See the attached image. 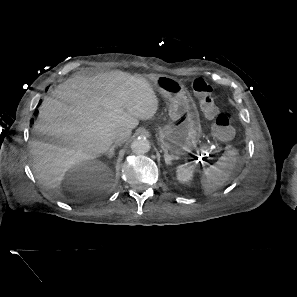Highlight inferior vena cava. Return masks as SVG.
I'll return each instance as SVG.
<instances>
[{
	"mask_svg": "<svg viewBox=\"0 0 297 297\" xmlns=\"http://www.w3.org/2000/svg\"><path fill=\"white\" fill-rule=\"evenodd\" d=\"M131 130L126 128L117 129L113 134V141L120 144L128 140Z\"/></svg>",
	"mask_w": 297,
	"mask_h": 297,
	"instance_id": "obj_1",
	"label": "inferior vena cava"
}]
</instances>
